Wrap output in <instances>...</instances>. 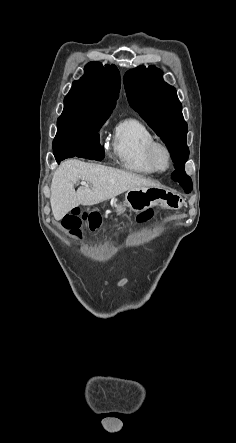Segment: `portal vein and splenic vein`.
Returning a JSON list of instances; mask_svg holds the SVG:
<instances>
[{
  "mask_svg": "<svg viewBox=\"0 0 236 443\" xmlns=\"http://www.w3.org/2000/svg\"><path fill=\"white\" fill-rule=\"evenodd\" d=\"M80 184H81L82 186H86V187H88V184H87L85 181H81Z\"/></svg>",
  "mask_w": 236,
  "mask_h": 443,
  "instance_id": "obj_1",
  "label": "portal vein and splenic vein"
}]
</instances>
